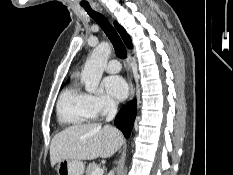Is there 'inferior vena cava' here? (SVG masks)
I'll return each instance as SVG.
<instances>
[{
	"instance_id": "inferior-vena-cava-1",
	"label": "inferior vena cava",
	"mask_w": 233,
	"mask_h": 175,
	"mask_svg": "<svg viewBox=\"0 0 233 175\" xmlns=\"http://www.w3.org/2000/svg\"><path fill=\"white\" fill-rule=\"evenodd\" d=\"M117 113V105L113 100L108 101V114L106 116V122L112 121ZM108 175H114L113 171H110Z\"/></svg>"
}]
</instances>
